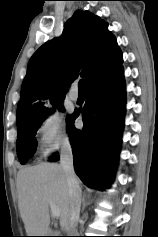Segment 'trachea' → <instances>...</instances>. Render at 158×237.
Instances as JSON below:
<instances>
[{"label":"trachea","mask_w":158,"mask_h":237,"mask_svg":"<svg viewBox=\"0 0 158 237\" xmlns=\"http://www.w3.org/2000/svg\"><path fill=\"white\" fill-rule=\"evenodd\" d=\"M78 87H79V92H85V80L84 79L79 81Z\"/></svg>","instance_id":"obj_1"}]
</instances>
